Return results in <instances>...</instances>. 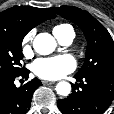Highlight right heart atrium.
<instances>
[{"label": "right heart atrium", "instance_id": "obj_1", "mask_svg": "<svg viewBox=\"0 0 114 114\" xmlns=\"http://www.w3.org/2000/svg\"><path fill=\"white\" fill-rule=\"evenodd\" d=\"M33 38V32L27 33L22 40V51L24 54H29L31 51V42Z\"/></svg>", "mask_w": 114, "mask_h": 114}]
</instances>
